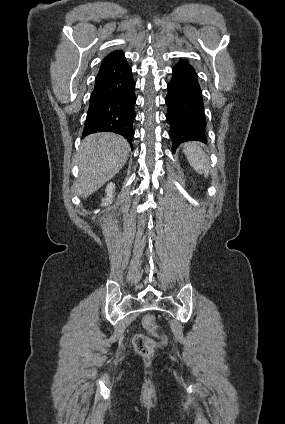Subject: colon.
Instances as JSON below:
<instances>
[{"label": "colon", "mask_w": 285, "mask_h": 424, "mask_svg": "<svg viewBox=\"0 0 285 424\" xmlns=\"http://www.w3.org/2000/svg\"><path fill=\"white\" fill-rule=\"evenodd\" d=\"M142 324L150 331L156 332L157 325L155 317L152 315L145 316ZM133 345L135 350L142 356H151L155 350L156 343L148 336L138 333L133 338Z\"/></svg>", "instance_id": "1"}]
</instances>
